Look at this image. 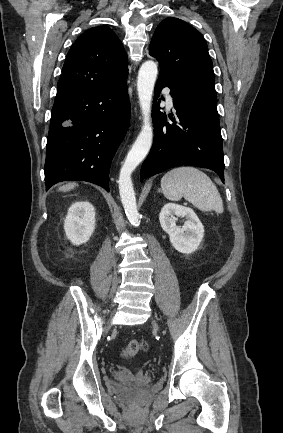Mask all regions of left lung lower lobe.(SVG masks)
<instances>
[{
	"label": "left lung lower lobe",
	"instance_id": "0a47b994",
	"mask_svg": "<svg viewBox=\"0 0 283 433\" xmlns=\"http://www.w3.org/2000/svg\"><path fill=\"white\" fill-rule=\"evenodd\" d=\"M170 88L176 111H159V92ZM182 84L159 75L154 92V144L144 161L140 180L176 166H197L214 170L224 182V155L219 119L202 116L184 105ZM160 102V100H159Z\"/></svg>",
	"mask_w": 283,
	"mask_h": 433
}]
</instances>
